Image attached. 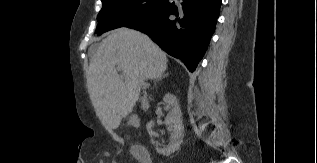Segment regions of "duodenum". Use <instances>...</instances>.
Segmentation results:
<instances>
[{"label": "duodenum", "instance_id": "410a0bca", "mask_svg": "<svg viewBox=\"0 0 317 163\" xmlns=\"http://www.w3.org/2000/svg\"><path fill=\"white\" fill-rule=\"evenodd\" d=\"M131 123H132L133 125H135V126H138V124H139V119H138V117H136V116L131 117ZM135 148H136L138 154H140V155H145V154H147V149H146L144 146H142V145H136Z\"/></svg>", "mask_w": 317, "mask_h": 163}]
</instances>
